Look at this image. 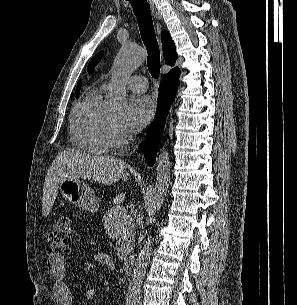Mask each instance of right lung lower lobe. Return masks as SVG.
<instances>
[{"label": "right lung lower lobe", "instance_id": "right-lung-lower-lobe-1", "mask_svg": "<svg viewBox=\"0 0 297 305\" xmlns=\"http://www.w3.org/2000/svg\"><path fill=\"white\" fill-rule=\"evenodd\" d=\"M179 75V69H175L163 76L159 87L156 117L148 131L145 141L139 146V150H142L146 154V160L150 166L155 162L157 147L161 140L169 107L178 88Z\"/></svg>", "mask_w": 297, "mask_h": 305}]
</instances>
